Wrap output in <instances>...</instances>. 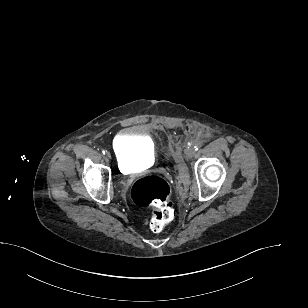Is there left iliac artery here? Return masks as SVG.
<instances>
[{"label": "left iliac artery", "instance_id": "44dca946", "mask_svg": "<svg viewBox=\"0 0 308 308\" xmlns=\"http://www.w3.org/2000/svg\"><path fill=\"white\" fill-rule=\"evenodd\" d=\"M195 150L197 151L199 149V146L198 145H195L194 146Z\"/></svg>", "mask_w": 308, "mask_h": 308}]
</instances>
